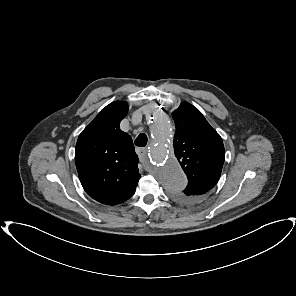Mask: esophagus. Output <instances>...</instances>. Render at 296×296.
<instances>
[{
  "label": "esophagus",
  "mask_w": 296,
  "mask_h": 296,
  "mask_svg": "<svg viewBox=\"0 0 296 296\" xmlns=\"http://www.w3.org/2000/svg\"><path fill=\"white\" fill-rule=\"evenodd\" d=\"M136 152L139 156L140 161L143 162L144 159L146 158V155H147V149L146 148H137Z\"/></svg>",
  "instance_id": "1"
}]
</instances>
